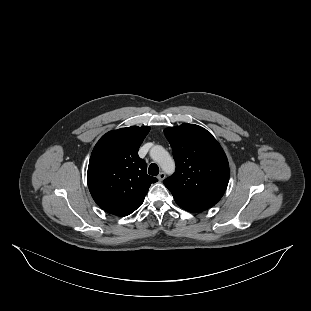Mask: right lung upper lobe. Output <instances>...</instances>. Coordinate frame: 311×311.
I'll return each mask as SVG.
<instances>
[{
	"mask_svg": "<svg viewBox=\"0 0 311 311\" xmlns=\"http://www.w3.org/2000/svg\"><path fill=\"white\" fill-rule=\"evenodd\" d=\"M150 127L113 130L95 145L88 166L87 182L94 201L106 212L126 216L144 201L157 178L146 172L138 150Z\"/></svg>",
	"mask_w": 311,
	"mask_h": 311,
	"instance_id": "cb5924a9",
	"label": "right lung upper lobe"
}]
</instances>
